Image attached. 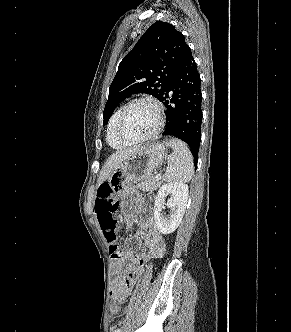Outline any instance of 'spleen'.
I'll return each instance as SVG.
<instances>
[{
  "label": "spleen",
  "instance_id": "spleen-1",
  "mask_svg": "<svg viewBox=\"0 0 291 332\" xmlns=\"http://www.w3.org/2000/svg\"><path fill=\"white\" fill-rule=\"evenodd\" d=\"M166 145L173 149L168 156V168L163 176L166 182H189L194 174L193 156L187 145L177 139L172 138Z\"/></svg>",
  "mask_w": 291,
  "mask_h": 332
}]
</instances>
